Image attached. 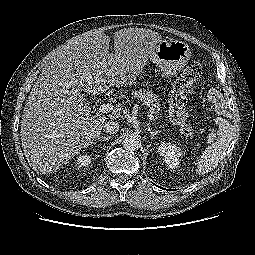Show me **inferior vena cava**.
<instances>
[{
  "instance_id": "obj_1",
  "label": "inferior vena cava",
  "mask_w": 255,
  "mask_h": 255,
  "mask_svg": "<svg viewBox=\"0 0 255 255\" xmlns=\"http://www.w3.org/2000/svg\"><path fill=\"white\" fill-rule=\"evenodd\" d=\"M104 131L108 134H116L119 130V123L115 121H108L104 124Z\"/></svg>"
}]
</instances>
